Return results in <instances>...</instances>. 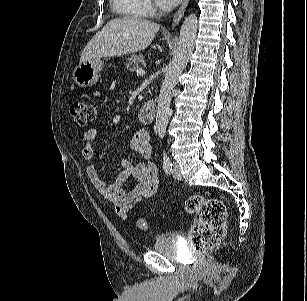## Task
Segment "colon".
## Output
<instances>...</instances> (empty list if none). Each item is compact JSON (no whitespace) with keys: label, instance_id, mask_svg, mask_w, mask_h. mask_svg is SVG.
Returning a JSON list of instances; mask_svg holds the SVG:
<instances>
[{"label":"colon","instance_id":"5ec220e1","mask_svg":"<svg viewBox=\"0 0 307 301\" xmlns=\"http://www.w3.org/2000/svg\"><path fill=\"white\" fill-rule=\"evenodd\" d=\"M70 114L76 126L84 127L95 119V107L82 100H74L70 103ZM184 208L188 213L195 215V222L189 233V247L197 254L216 246L222 239L227 218L226 207L218 198H204L200 195H192L184 202ZM140 231L148 230L146 219L136 221Z\"/></svg>","mask_w":307,"mask_h":301}]
</instances>
